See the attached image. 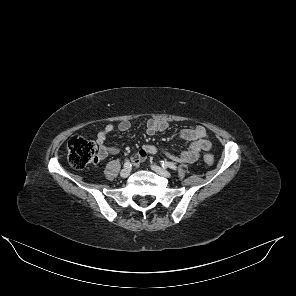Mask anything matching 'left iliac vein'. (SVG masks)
<instances>
[{"mask_svg": "<svg viewBox=\"0 0 296 296\" xmlns=\"http://www.w3.org/2000/svg\"><path fill=\"white\" fill-rule=\"evenodd\" d=\"M151 168L159 175L165 176V177H170L171 173L167 171L166 169H163L157 165H152Z\"/></svg>", "mask_w": 296, "mask_h": 296, "instance_id": "left-iliac-vein-1", "label": "left iliac vein"}]
</instances>
